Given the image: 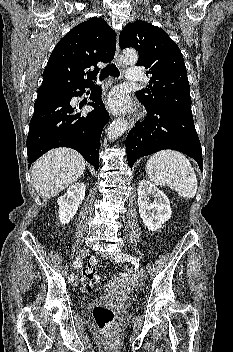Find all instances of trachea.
I'll use <instances>...</instances> for the list:
<instances>
[{"mask_svg": "<svg viewBox=\"0 0 233 352\" xmlns=\"http://www.w3.org/2000/svg\"><path fill=\"white\" fill-rule=\"evenodd\" d=\"M113 76L118 78L120 75V72L116 65L114 63H111L110 65L106 66L100 73V80L105 79L108 76Z\"/></svg>", "mask_w": 233, "mask_h": 352, "instance_id": "obj_1", "label": "trachea"}]
</instances>
